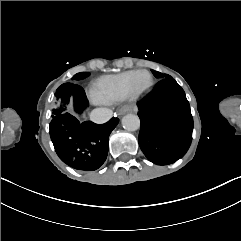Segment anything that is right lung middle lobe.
Masks as SVG:
<instances>
[{
	"label": "right lung middle lobe",
	"instance_id": "obj_1",
	"mask_svg": "<svg viewBox=\"0 0 241 241\" xmlns=\"http://www.w3.org/2000/svg\"><path fill=\"white\" fill-rule=\"evenodd\" d=\"M88 75L89 73L87 72L78 73L73 77V80H80ZM71 83H64L57 88L52 102V118L67 112Z\"/></svg>",
	"mask_w": 241,
	"mask_h": 241
}]
</instances>
